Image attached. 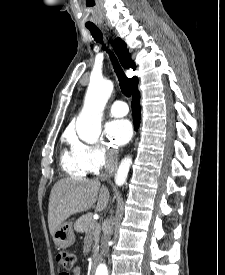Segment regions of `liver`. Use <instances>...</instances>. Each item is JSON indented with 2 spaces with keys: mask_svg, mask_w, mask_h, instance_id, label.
<instances>
[{
  "mask_svg": "<svg viewBox=\"0 0 225 275\" xmlns=\"http://www.w3.org/2000/svg\"><path fill=\"white\" fill-rule=\"evenodd\" d=\"M97 201L96 210L102 211L109 201V191L99 180L72 176L59 180L52 188L48 206L50 234L70 216L89 210Z\"/></svg>",
  "mask_w": 225,
  "mask_h": 275,
  "instance_id": "liver-1",
  "label": "liver"
}]
</instances>
